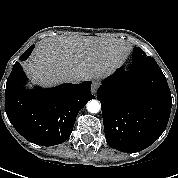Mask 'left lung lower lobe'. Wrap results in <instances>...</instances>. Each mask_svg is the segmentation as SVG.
<instances>
[{"label": "left lung lower lobe", "mask_w": 178, "mask_h": 178, "mask_svg": "<svg viewBox=\"0 0 178 178\" xmlns=\"http://www.w3.org/2000/svg\"><path fill=\"white\" fill-rule=\"evenodd\" d=\"M97 99L106 141L116 150L139 152L153 144L168 124L171 92L152 57L133 60L128 71L117 69L103 81Z\"/></svg>", "instance_id": "left-lung-lower-lobe-1"}]
</instances>
